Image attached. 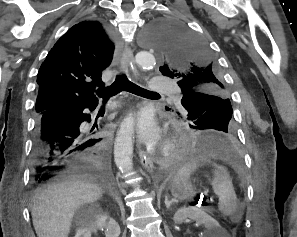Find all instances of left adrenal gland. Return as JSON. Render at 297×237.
I'll return each instance as SVG.
<instances>
[{
    "instance_id": "1",
    "label": "left adrenal gland",
    "mask_w": 297,
    "mask_h": 237,
    "mask_svg": "<svg viewBox=\"0 0 297 237\" xmlns=\"http://www.w3.org/2000/svg\"><path fill=\"white\" fill-rule=\"evenodd\" d=\"M176 202L175 199L168 200V195L165 196V205L167 209H170V206Z\"/></svg>"
}]
</instances>
